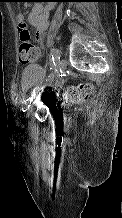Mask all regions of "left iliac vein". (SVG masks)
<instances>
[{
  "instance_id": "1",
  "label": "left iliac vein",
  "mask_w": 122,
  "mask_h": 218,
  "mask_svg": "<svg viewBox=\"0 0 122 218\" xmlns=\"http://www.w3.org/2000/svg\"><path fill=\"white\" fill-rule=\"evenodd\" d=\"M66 66H67V62L64 59H61L60 62H59V66H58V72L54 74V77L51 80V83L49 85L50 87L54 88L59 84V82H60L59 72L62 73L66 69ZM34 105H35V103L33 102L27 108V110H26L27 111V116H30L33 113Z\"/></svg>"
}]
</instances>
